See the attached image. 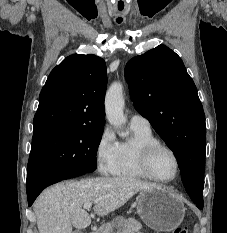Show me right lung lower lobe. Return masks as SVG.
Returning a JSON list of instances; mask_svg holds the SVG:
<instances>
[{
	"label": "right lung lower lobe",
	"mask_w": 227,
	"mask_h": 233,
	"mask_svg": "<svg viewBox=\"0 0 227 233\" xmlns=\"http://www.w3.org/2000/svg\"><path fill=\"white\" fill-rule=\"evenodd\" d=\"M86 172L68 171L42 176L32 184L27 185L28 205L31 206L41 191L49 185L73 177L84 175Z\"/></svg>",
	"instance_id": "98d812e1"
}]
</instances>
